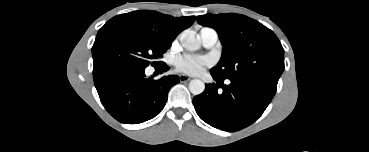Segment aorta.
Returning <instances> with one entry per match:
<instances>
[{"label": "aorta", "mask_w": 369, "mask_h": 152, "mask_svg": "<svg viewBox=\"0 0 369 152\" xmlns=\"http://www.w3.org/2000/svg\"><path fill=\"white\" fill-rule=\"evenodd\" d=\"M179 40L188 51H196L200 48V42L193 34L184 32L180 35ZM189 90L193 95H199L205 90V84L199 79H193L189 83Z\"/></svg>", "instance_id": "obj_1"}]
</instances>
